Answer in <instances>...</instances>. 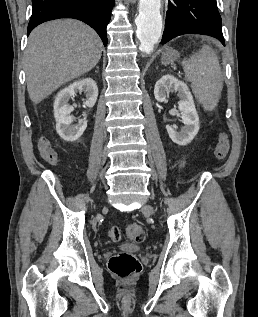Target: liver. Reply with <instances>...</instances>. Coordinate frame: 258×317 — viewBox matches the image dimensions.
I'll return each mask as SVG.
<instances>
[{"label": "liver", "mask_w": 258, "mask_h": 317, "mask_svg": "<svg viewBox=\"0 0 258 317\" xmlns=\"http://www.w3.org/2000/svg\"><path fill=\"white\" fill-rule=\"evenodd\" d=\"M102 40L88 24L65 18L36 26L24 54L28 94L38 104L53 90L91 70L101 58Z\"/></svg>", "instance_id": "obj_1"}]
</instances>
